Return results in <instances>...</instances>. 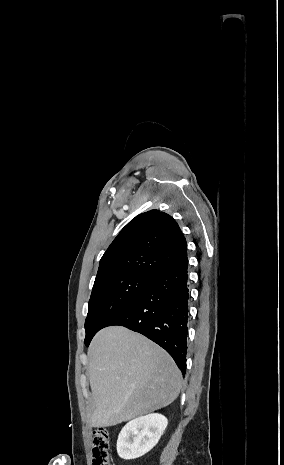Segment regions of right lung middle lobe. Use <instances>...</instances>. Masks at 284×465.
<instances>
[{"label": "right lung middle lobe", "instance_id": "1", "mask_svg": "<svg viewBox=\"0 0 284 465\" xmlns=\"http://www.w3.org/2000/svg\"><path fill=\"white\" fill-rule=\"evenodd\" d=\"M153 280L139 274H124L94 283L85 321V345L107 321L141 293Z\"/></svg>", "mask_w": 284, "mask_h": 465}]
</instances>
